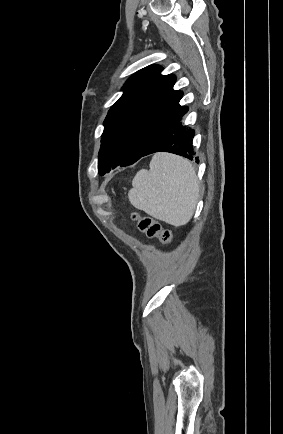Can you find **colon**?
Segmentation results:
<instances>
[{
  "mask_svg": "<svg viewBox=\"0 0 283 434\" xmlns=\"http://www.w3.org/2000/svg\"><path fill=\"white\" fill-rule=\"evenodd\" d=\"M133 218L137 221L138 228L150 238H158L162 243H170L173 239L172 232L164 229L159 222L149 216H141L134 213Z\"/></svg>",
  "mask_w": 283,
  "mask_h": 434,
  "instance_id": "obj_1",
  "label": "colon"
}]
</instances>
